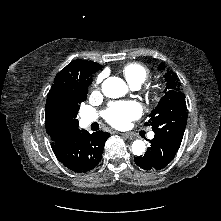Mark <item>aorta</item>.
<instances>
[{
	"mask_svg": "<svg viewBox=\"0 0 221 221\" xmlns=\"http://www.w3.org/2000/svg\"><path fill=\"white\" fill-rule=\"evenodd\" d=\"M128 87L126 83L118 77H109L102 84V92L108 98H119L126 94ZM146 146L144 141L135 140L132 144L134 155H141L145 152Z\"/></svg>",
	"mask_w": 221,
	"mask_h": 221,
	"instance_id": "aorta-1",
	"label": "aorta"
}]
</instances>
